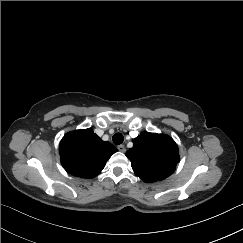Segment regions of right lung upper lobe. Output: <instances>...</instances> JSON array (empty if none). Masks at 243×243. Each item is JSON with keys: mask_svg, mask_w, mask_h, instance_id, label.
I'll return each instance as SVG.
<instances>
[{"mask_svg": "<svg viewBox=\"0 0 243 243\" xmlns=\"http://www.w3.org/2000/svg\"><path fill=\"white\" fill-rule=\"evenodd\" d=\"M116 151L115 146L102 141L91 128L67 133L59 146L65 170L81 178L97 176Z\"/></svg>", "mask_w": 243, "mask_h": 243, "instance_id": "right-lung-upper-lobe-1", "label": "right lung upper lobe"}]
</instances>
